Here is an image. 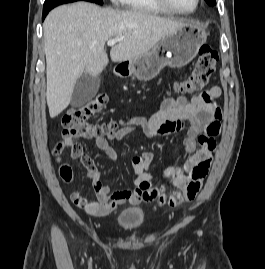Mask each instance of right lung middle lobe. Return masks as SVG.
<instances>
[{"instance_id":"obj_1","label":"right lung middle lobe","mask_w":265,"mask_h":269,"mask_svg":"<svg viewBox=\"0 0 265 269\" xmlns=\"http://www.w3.org/2000/svg\"><path fill=\"white\" fill-rule=\"evenodd\" d=\"M85 1L97 3V4H100V5L103 4V1L102 0H85Z\"/></svg>"}]
</instances>
